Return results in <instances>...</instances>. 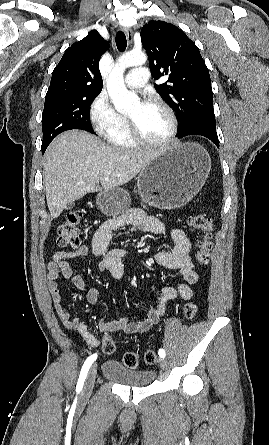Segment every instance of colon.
Returning <instances> with one entry per match:
<instances>
[{"label":"colon","instance_id":"colon-1","mask_svg":"<svg viewBox=\"0 0 269 445\" xmlns=\"http://www.w3.org/2000/svg\"><path fill=\"white\" fill-rule=\"evenodd\" d=\"M82 218L83 212L81 210L66 214L57 230V243L60 247H77L79 245ZM188 224L192 229L201 232L196 259L201 266H206L210 261V253L213 247L212 220L204 214H196L189 218ZM197 311L198 307L194 303H187L183 308L184 317L188 320L193 319ZM102 349L107 354L114 352L115 343L112 336L105 335L103 337ZM144 361L148 365L155 364L157 362L155 351L147 350L144 353ZM122 362L126 367L134 369L139 365V357L135 352H126L122 357Z\"/></svg>","mask_w":269,"mask_h":445}]
</instances>
